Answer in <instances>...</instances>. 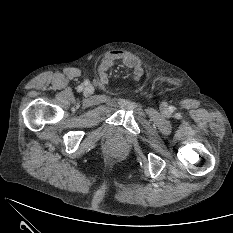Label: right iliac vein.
I'll return each mask as SVG.
<instances>
[{"label": "right iliac vein", "mask_w": 233, "mask_h": 233, "mask_svg": "<svg viewBox=\"0 0 233 233\" xmlns=\"http://www.w3.org/2000/svg\"><path fill=\"white\" fill-rule=\"evenodd\" d=\"M85 91L88 94H92L94 92V87L91 85H88V86H86Z\"/></svg>", "instance_id": "63e3f726"}]
</instances>
